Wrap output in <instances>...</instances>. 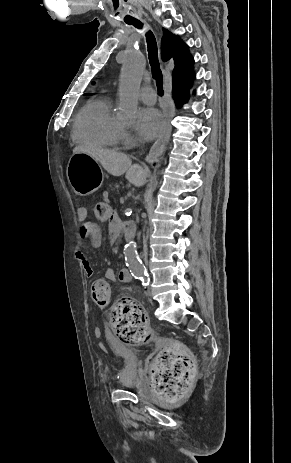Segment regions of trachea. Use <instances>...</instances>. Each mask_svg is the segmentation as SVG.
Masks as SVG:
<instances>
[{"mask_svg": "<svg viewBox=\"0 0 291 463\" xmlns=\"http://www.w3.org/2000/svg\"><path fill=\"white\" fill-rule=\"evenodd\" d=\"M129 25H133L139 29L142 28V23L139 21H134V22H128ZM146 41H147V47H148V56H149V62L151 65V70L153 77L156 80V85H157V90L159 95H163V76H162V71L160 69V64L158 60V48H157V42L156 39L151 31H148L146 33Z\"/></svg>", "mask_w": 291, "mask_h": 463, "instance_id": "trachea-1", "label": "trachea"}]
</instances>
